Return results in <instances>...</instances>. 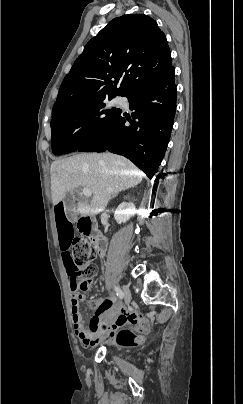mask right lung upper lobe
<instances>
[{
	"mask_svg": "<svg viewBox=\"0 0 243 404\" xmlns=\"http://www.w3.org/2000/svg\"><path fill=\"white\" fill-rule=\"evenodd\" d=\"M171 66L166 37L155 20L144 14L117 17L74 62L60 86L52 117L102 97L125 96Z\"/></svg>",
	"mask_w": 243,
	"mask_h": 404,
	"instance_id": "right-lung-upper-lobe-1",
	"label": "right lung upper lobe"
}]
</instances>
